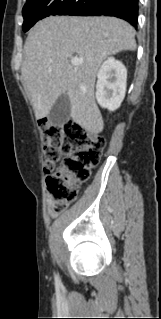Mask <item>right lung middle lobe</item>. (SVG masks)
Instances as JSON below:
<instances>
[{
    "label": "right lung middle lobe",
    "mask_w": 161,
    "mask_h": 319,
    "mask_svg": "<svg viewBox=\"0 0 161 319\" xmlns=\"http://www.w3.org/2000/svg\"><path fill=\"white\" fill-rule=\"evenodd\" d=\"M86 0H27L23 7V30L28 31L37 21L50 15H69Z\"/></svg>",
    "instance_id": "obj_1"
}]
</instances>
